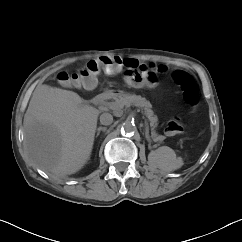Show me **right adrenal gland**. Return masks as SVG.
Segmentation results:
<instances>
[{
  "label": "right adrenal gland",
  "instance_id": "1",
  "mask_svg": "<svg viewBox=\"0 0 242 242\" xmlns=\"http://www.w3.org/2000/svg\"><path fill=\"white\" fill-rule=\"evenodd\" d=\"M106 130H107L106 127H102V126H101V127H98V128H97V134H96V137L99 136V134H100L101 131L105 132Z\"/></svg>",
  "mask_w": 242,
  "mask_h": 242
}]
</instances>
